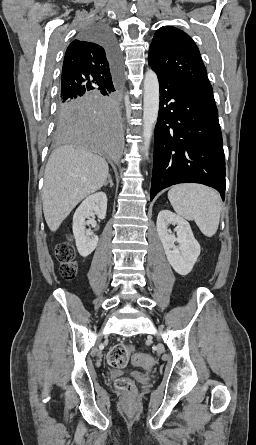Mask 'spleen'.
I'll list each match as a JSON object with an SVG mask.
<instances>
[{"label": "spleen", "instance_id": "spleen-1", "mask_svg": "<svg viewBox=\"0 0 256 445\" xmlns=\"http://www.w3.org/2000/svg\"><path fill=\"white\" fill-rule=\"evenodd\" d=\"M168 199L175 212L188 220H194L207 236L218 229L221 198L212 188L199 184H179L168 191Z\"/></svg>", "mask_w": 256, "mask_h": 445}]
</instances>
